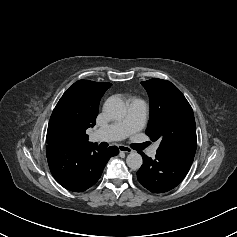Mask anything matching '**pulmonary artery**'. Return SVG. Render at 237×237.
I'll return each instance as SVG.
<instances>
[{
  "label": "pulmonary artery",
  "mask_w": 237,
  "mask_h": 237,
  "mask_svg": "<svg viewBox=\"0 0 237 237\" xmlns=\"http://www.w3.org/2000/svg\"><path fill=\"white\" fill-rule=\"evenodd\" d=\"M148 106L144 100L134 97L129 101L128 111L124 118L99 128L92 134L94 141H119L128 135L140 131L146 122ZM157 146L151 148L149 154L155 156Z\"/></svg>",
  "instance_id": "obj_1"
}]
</instances>
